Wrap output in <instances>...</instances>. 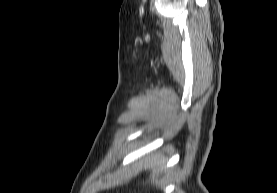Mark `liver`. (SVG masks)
<instances>
[{"label": "liver", "instance_id": "1", "mask_svg": "<svg viewBox=\"0 0 277 193\" xmlns=\"http://www.w3.org/2000/svg\"><path fill=\"white\" fill-rule=\"evenodd\" d=\"M159 171V168L153 170V174H156Z\"/></svg>", "mask_w": 277, "mask_h": 193}]
</instances>
